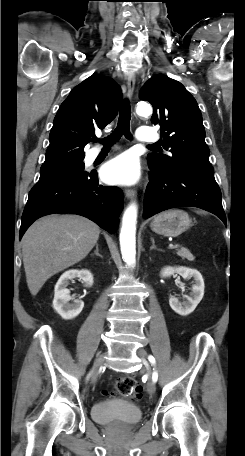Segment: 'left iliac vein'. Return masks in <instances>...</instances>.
Masks as SVG:
<instances>
[{
  "mask_svg": "<svg viewBox=\"0 0 245 456\" xmlns=\"http://www.w3.org/2000/svg\"><path fill=\"white\" fill-rule=\"evenodd\" d=\"M137 354L138 356H140L142 358V360L144 361V363H147L146 361V357H147V352L145 349L143 348H140L137 350ZM155 383L153 382V380L150 378L148 383H147V391L148 393L152 394L155 392Z\"/></svg>",
  "mask_w": 245,
  "mask_h": 456,
  "instance_id": "obj_1",
  "label": "left iliac vein"
}]
</instances>
